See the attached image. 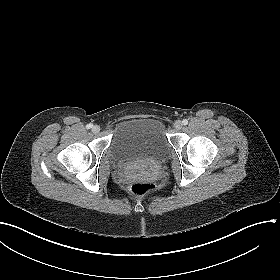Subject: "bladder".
Here are the masks:
<instances>
[{
  "label": "bladder",
  "instance_id": "1",
  "mask_svg": "<svg viewBox=\"0 0 280 280\" xmlns=\"http://www.w3.org/2000/svg\"><path fill=\"white\" fill-rule=\"evenodd\" d=\"M169 143L164 123L156 118H133L118 123L110 144L117 162L138 159H162Z\"/></svg>",
  "mask_w": 280,
  "mask_h": 280
}]
</instances>
